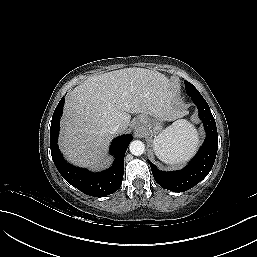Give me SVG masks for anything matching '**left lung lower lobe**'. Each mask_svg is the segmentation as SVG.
I'll list each match as a JSON object with an SVG mask.
<instances>
[{
  "mask_svg": "<svg viewBox=\"0 0 257 257\" xmlns=\"http://www.w3.org/2000/svg\"><path fill=\"white\" fill-rule=\"evenodd\" d=\"M191 98L198 107L199 117L206 130V139L199 152L185 168L178 171L163 172L150 162L155 181L161 187L174 192L187 191L202 181L211 171L218 149L216 123L209 105L203 97Z\"/></svg>",
  "mask_w": 257,
  "mask_h": 257,
  "instance_id": "obj_1",
  "label": "left lung lower lobe"
}]
</instances>
